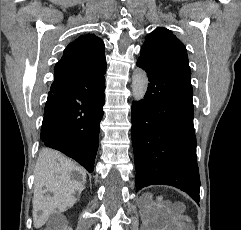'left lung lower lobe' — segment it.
Returning <instances> with one entry per match:
<instances>
[{
    "label": "left lung lower lobe",
    "mask_w": 241,
    "mask_h": 230,
    "mask_svg": "<svg viewBox=\"0 0 241 230\" xmlns=\"http://www.w3.org/2000/svg\"><path fill=\"white\" fill-rule=\"evenodd\" d=\"M150 83L142 101L132 104L136 192L149 185H171L199 202L200 177L189 78L138 58Z\"/></svg>",
    "instance_id": "obj_1"
}]
</instances>
